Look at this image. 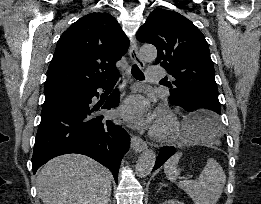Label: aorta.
I'll list each match as a JSON object with an SVG mask.
<instances>
[{
	"label": "aorta",
	"mask_w": 261,
	"mask_h": 204,
	"mask_svg": "<svg viewBox=\"0 0 261 204\" xmlns=\"http://www.w3.org/2000/svg\"><path fill=\"white\" fill-rule=\"evenodd\" d=\"M140 56L143 61L151 62L157 57V50L152 45H144L140 49ZM156 155L153 150L144 151L136 163V174L139 178L149 175L154 167Z\"/></svg>",
	"instance_id": "aorta-1"
}]
</instances>
